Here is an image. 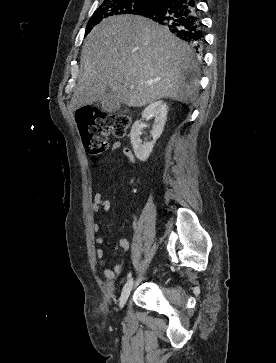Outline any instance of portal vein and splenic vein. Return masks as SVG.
I'll use <instances>...</instances> for the list:
<instances>
[{
	"label": "portal vein and splenic vein",
	"mask_w": 276,
	"mask_h": 363,
	"mask_svg": "<svg viewBox=\"0 0 276 363\" xmlns=\"http://www.w3.org/2000/svg\"><path fill=\"white\" fill-rule=\"evenodd\" d=\"M130 88H131V89H133V88H134V86H131Z\"/></svg>",
	"instance_id": "1"
}]
</instances>
